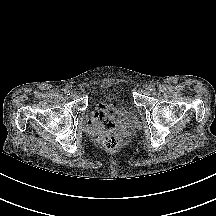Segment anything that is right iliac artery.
I'll use <instances>...</instances> for the list:
<instances>
[{"label":"right iliac artery","mask_w":216,"mask_h":216,"mask_svg":"<svg viewBox=\"0 0 216 216\" xmlns=\"http://www.w3.org/2000/svg\"><path fill=\"white\" fill-rule=\"evenodd\" d=\"M64 93H65L66 95H70V90L65 89V90H64Z\"/></svg>","instance_id":"obj_1"}]
</instances>
